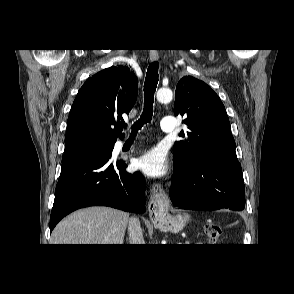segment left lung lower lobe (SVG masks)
<instances>
[{
  "instance_id": "left-lung-lower-lobe-1",
  "label": "left lung lower lobe",
  "mask_w": 294,
  "mask_h": 294,
  "mask_svg": "<svg viewBox=\"0 0 294 294\" xmlns=\"http://www.w3.org/2000/svg\"><path fill=\"white\" fill-rule=\"evenodd\" d=\"M175 181L169 195L174 206L187 210L240 211L245 187L239 161L211 159L185 165L174 159Z\"/></svg>"
}]
</instances>
